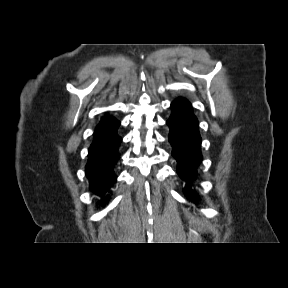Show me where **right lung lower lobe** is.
I'll return each instance as SVG.
<instances>
[{
  "mask_svg": "<svg viewBox=\"0 0 288 288\" xmlns=\"http://www.w3.org/2000/svg\"><path fill=\"white\" fill-rule=\"evenodd\" d=\"M116 130L107 138L93 142L88 150L86 176L90 181V190L97 195H104L101 198L102 204L108 202L107 194L117 178L115 169L120 159L122 138Z\"/></svg>",
  "mask_w": 288,
  "mask_h": 288,
  "instance_id": "98d812e1",
  "label": "right lung lower lobe"
}]
</instances>
